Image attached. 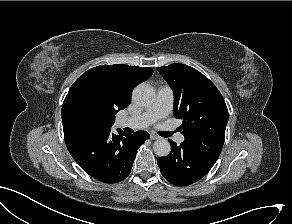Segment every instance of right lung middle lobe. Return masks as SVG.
<instances>
[{
	"mask_svg": "<svg viewBox=\"0 0 292 224\" xmlns=\"http://www.w3.org/2000/svg\"><path fill=\"white\" fill-rule=\"evenodd\" d=\"M64 131L101 132L110 130L115 115L101 98L92 91H69L62 106Z\"/></svg>",
	"mask_w": 292,
	"mask_h": 224,
	"instance_id": "1",
	"label": "right lung middle lobe"
}]
</instances>
